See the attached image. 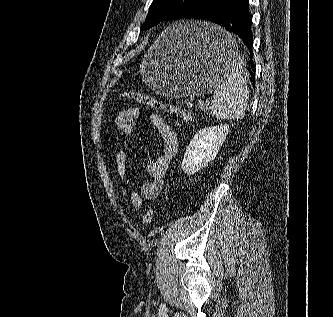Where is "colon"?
<instances>
[{
	"label": "colon",
	"mask_w": 333,
	"mask_h": 317,
	"mask_svg": "<svg viewBox=\"0 0 333 317\" xmlns=\"http://www.w3.org/2000/svg\"><path fill=\"white\" fill-rule=\"evenodd\" d=\"M121 97L135 101L139 104H142L144 106H147L149 108L158 111L179 116L186 122H190L192 120V116L188 111L163 103L157 100L156 98L140 91H127L122 93ZM153 216H154V209L153 208L147 209L142 217L143 223L145 225H149L153 220Z\"/></svg>",
	"instance_id": "colon-1"
}]
</instances>
